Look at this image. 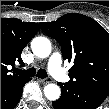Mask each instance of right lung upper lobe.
<instances>
[{
    "label": "right lung upper lobe",
    "instance_id": "obj_1",
    "mask_svg": "<svg viewBox=\"0 0 109 109\" xmlns=\"http://www.w3.org/2000/svg\"><path fill=\"white\" fill-rule=\"evenodd\" d=\"M38 30L36 23L22 22L16 18L1 19V89L25 77L10 74L7 66L14 65L15 61L23 63L22 50Z\"/></svg>",
    "mask_w": 109,
    "mask_h": 109
}]
</instances>
